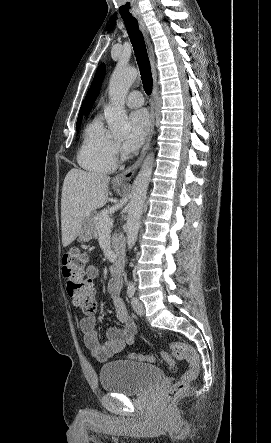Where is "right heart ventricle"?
I'll return each mask as SVG.
<instances>
[{"instance_id":"e07e8e85","label":"right heart ventricle","mask_w":271,"mask_h":443,"mask_svg":"<svg viewBox=\"0 0 271 443\" xmlns=\"http://www.w3.org/2000/svg\"><path fill=\"white\" fill-rule=\"evenodd\" d=\"M77 161L82 168L93 173H111L117 166L116 142L98 115L84 129Z\"/></svg>"}]
</instances>
